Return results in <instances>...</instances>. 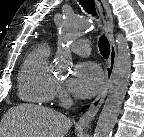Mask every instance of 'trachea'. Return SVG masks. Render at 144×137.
<instances>
[{
	"label": "trachea",
	"instance_id": "obj_1",
	"mask_svg": "<svg viewBox=\"0 0 144 137\" xmlns=\"http://www.w3.org/2000/svg\"><path fill=\"white\" fill-rule=\"evenodd\" d=\"M79 3L84 7V9L88 13L96 15L94 0H79ZM98 45H99V50H100L101 55L105 58H108L109 53H110V44L107 38L104 36L101 37L99 39Z\"/></svg>",
	"mask_w": 144,
	"mask_h": 137
}]
</instances>
